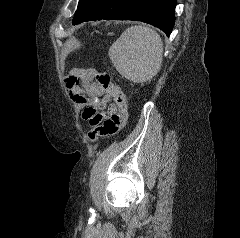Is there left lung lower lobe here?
Returning a JSON list of instances; mask_svg holds the SVG:
<instances>
[{
    "label": "left lung lower lobe",
    "mask_w": 240,
    "mask_h": 238,
    "mask_svg": "<svg viewBox=\"0 0 240 238\" xmlns=\"http://www.w3.org/2000/svg\"><path fill=\"white\" fill-rule=\"evenodd\" d=\"M176 0H91L73 24L96 20H135L152 24L169 36L175 21Z\"/></svg>",
    "instance_id": "1"
}]
</instances>
